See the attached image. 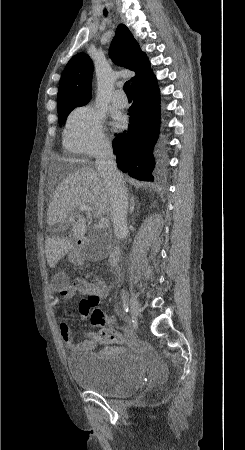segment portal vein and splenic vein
Here are the masks:
<instances>
[{"mask_svg":"<svg viewBox=\"0 0 245 450\" xmlns=\"http://www.w3.org/2000/svg\"><path fill=\"white\" fill-rule=\"evenodd\" d=\"M79 212H86L89 216L91 215L92 209L89 206L81 205L78 208ZM74 220V215L69 217V221L72 222ZM100 228H107L109 225V221L106 218H101L98 223Z\"/></svg>","mask_w":245,"mask_h":450,"instance_id":"obj_1","label":"portal vein and splenic vein"}]
</instances>
